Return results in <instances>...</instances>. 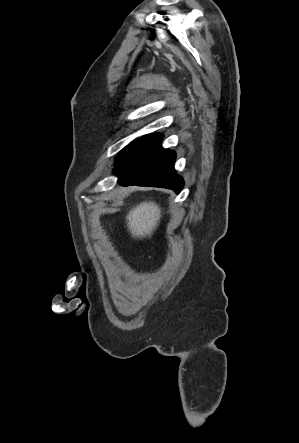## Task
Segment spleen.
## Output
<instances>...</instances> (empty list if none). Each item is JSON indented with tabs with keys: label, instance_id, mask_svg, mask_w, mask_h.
Segmentation results:
<instances>
[{
	"label": "spleen",
	"instance_id": "1",
	"mask_svg": "<svg viewBox=\"0 0 299 443\" xmlns=\"http://www.w3.org/2000/svg\"><path fill=\"white\" fill-rule=\"evenodd\" d=\"M160 209L154 203H142L127 216L129 228L137 234H149L160 218Z\"/></svg>",
	"mask_w": 299,
	"mask_h": 443
}]
</instances>
